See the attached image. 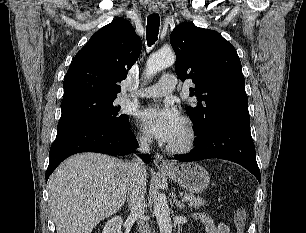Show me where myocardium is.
I'll return each instance as SVG.
<instances>
[{
    "instance_id": "f54148a6",
    "label": "myocardium",
    "mask_w": 306,
    "mask_h": 233,
    "mask_svg": "<svg viewBox=\"0 0 306 233\" xmlns=\"http://www.w3.org/2000/svg\"><path fill=\"white\" fill-rule=\"evenodd\" d=\"M185 137L177 144H168L167 149L173 153H186L191 151L197 140L196 129L190 119H184Z\"/></svg>"
}]
</instances>
